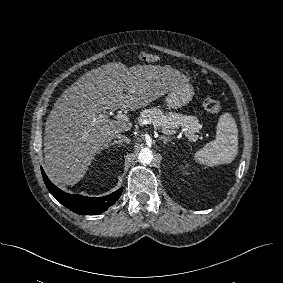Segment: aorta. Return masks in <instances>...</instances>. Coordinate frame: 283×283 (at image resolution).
Listing matches in <instances>:
<instances>
[{
	"instance_id": "1",
	"label": "aorta",
	"mask_w": 283,
	"mask_h": 283,
	"mask_svg": "<svg viewBox=\"0 0 283 283\" xmlns=\"http://www.w3.org/2000/svg\"><path fill=\"white\" fill-rule=\"evenodd\" d=\"M138 160L142 164H150L153 160L152 151L148 148H143L138 154Z\"/></svg>"
}]
</instances>
